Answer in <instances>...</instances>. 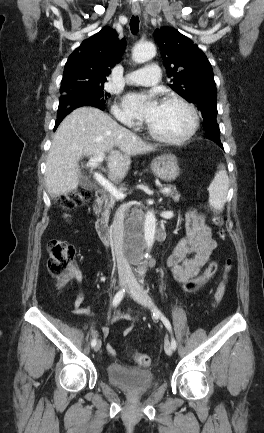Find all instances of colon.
Instances as JSON below:
<instances>
[{"label": "colon", "mask_w": 264, "mask_h": 433, "mask_svg": "<svg viewBox=\"0 0 264 433\" xmlns=\"http://www.w3.org/2000/svg\"><path fill=\"white\" fill-rule=\"evenodd\" d=\"M90 196L91 193L89 190L79 189L64 196L60 201V205L63 210L69 211L88 200ZM212 222L218 228V237L221 240H225L226 234L225 231L221 228L223 220L221 216L215 211H213L212 213ZM48 254V270L54 277L57 278L58 286L62 287L70 280V278L75 273V268L73 266L75 249L73 245L67 241L61 239H52L48 244ZM217 268V263L214 261L211 262L201 274L184 282L182 285V290L185 293H191L198 290L214 276ZM231 268L232 260L227 259L224 265L223 279L217 286L214 293L215 305L220 303L224 297L227 276ZM133 357L140 365L143 366H150L152 363L150 356L146 354L133 353Z\"/></svg>", "instance_id": "obj_1"}]
</instances>
